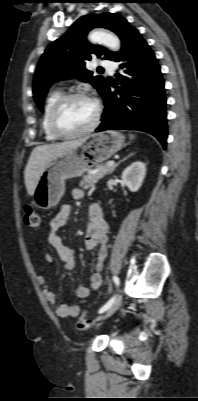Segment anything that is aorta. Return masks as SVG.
<instances>
[{
  "mask_svg": "<svg viewBox=\"0 0 198 401\" xmlns=\"http://www.w3.org/2000/svg\"><path fill=\"white\" fill-rule=\"evenodd\" d=\"M89 40L92 43L103 44L113 51H118L120 49L119 38L116 35L101 29L92 31L89 35Z\"/></svg>",
  "mask_w": 198,
  "mask_h": 401,
  "instance_id": "1",
  "label": "aorta"
}]
</instances>
